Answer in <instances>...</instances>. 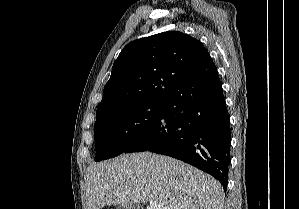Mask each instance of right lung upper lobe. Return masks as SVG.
Here are the masks:
<instances>
[{
    "label": "right lung upper lobe",
    "instance_id": "cb5924a9",
    "mask_svg": "<svg viewBox=\"0 0 299 209\" xmlns=\"http://www.w3.org/2000/svg\"><path fill=\"white\" fill-rule=\"evenodd\" d=\"M216 69L195 38L167 31L127 44L113 64L97 114L138 102L164 103L188 78Z\"/></svg>",
    "mask_w": 299,
    "mask_h": 209
}]
</instances>
